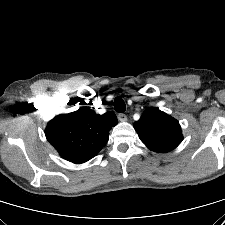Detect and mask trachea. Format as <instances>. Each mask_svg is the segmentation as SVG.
<instances>
[{
    "label": "trachea",
    "instance_id": "1",
    "mask_svg": "<svg viewBox=\"0 0 225 225\" xmlns=\"http://www.w3.org/2000/svg\"><path fill=\"white\" fill-rule=\"evenodd\" d=\"M114 109L116 112L123 113L126 110L125 102L121 97H117L114 100Z\"/></svg>",
    "mask_w": 225,
    "mask_h": 225
}]
</instances>
